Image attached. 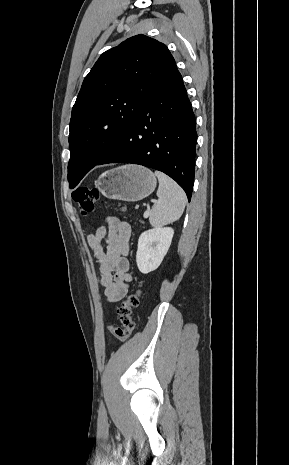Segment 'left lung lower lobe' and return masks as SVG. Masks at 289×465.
<instances>
[{
	"label": "left lung lower lobe",
	"instance_id": "0a47b994",
	"mask_svg": "<svg viewBox=\"0 0 289 465\" xmlns=\"http://www.w3.org/2000/svg\"><path fill=\"white\" fill-rule=\"evenodd\" d=\"M196 141L195 116L177 70L149 93L134 120L96 165L133 163L162 171L190 201Z\"/></svg>",
	"mask_w": 289,
	"mask_h": 465
}]
</instances>
